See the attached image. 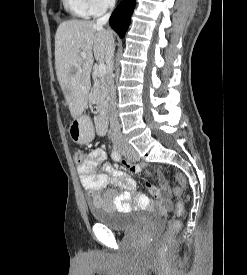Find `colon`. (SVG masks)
<instances>
[{
	"label": "colon",
	"instance_id": "1",
	"mask_svg": "<svg viewBox=\"0 0 247 275\" xmlns=\"http://www.w3.org/2000/svg\"><path fill=\"white\" fill-rule=\"evenodd\" d=\"M83 153L78 150L75 152L74 158L77 163H81L83 161ZM133 165H129L131 168ZM176 179L179 182L181 187H175L173 189V194L177 199L176 204V214L177 216H181L184 213V201L181 199L182 192L186 188V181L184 177L180 174L176 175ZM182 223L179 219H173L169 222L168 227L161 238V247L166 250L173 243L174 237L180 231Z\"/></svg>",
	"mask_w": 247,
	"mask_h": 275
}]
</instances>
